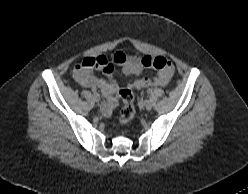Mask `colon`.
<instances>
[{
	"instance_id": "colon-1",
	"label": "colon",
	"mask_w": 248,
	"mask_h": 194,
	"mask_svg": "<svg viewBox=\"0 0 248 194\" xmlns=\"http://www.w3.org/2000/svg\"><path fill=\"white\" fill-rule=\"evenodd\" d=\"M169 62L163 57H150L144 58L143 64L146 68H154L157 70L168 69ZM173 65V64H172ZM90 67H98L94 61L87 64ZM118 98L122 102V109L119 116V123L124 125L131 122L135 116L134 96L131 90L122 88L118 92Z\"/></svg>"
}]
</instances>
